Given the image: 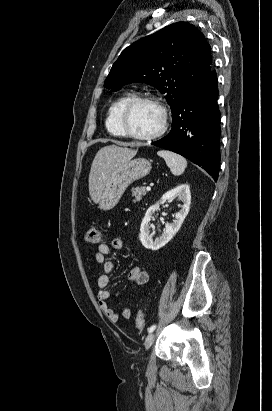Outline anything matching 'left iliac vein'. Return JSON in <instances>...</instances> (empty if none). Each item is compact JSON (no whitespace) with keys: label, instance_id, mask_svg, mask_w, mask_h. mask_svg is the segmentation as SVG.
<instances>
[{"label":"left iliac vein","instance_id":"1","mask_svg":"<svg viewBox=\"0 0 272 411\" xmlns=\"http://www.w3.org/2000/svg\"><path fill=\"white\" fill-rule=\"evenodd\" d=\"M154 338H155V334H154V333H150V334L146 337L145 342H144V346H145V349H146V350H148V349L151 347V345H152L153 342H154Z\"/></svg>","mask_w":272,"mask_h":411}]
</instances>
